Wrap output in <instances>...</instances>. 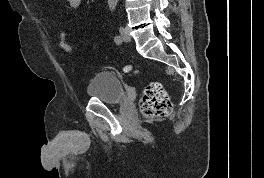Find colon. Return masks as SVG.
Listing matches in <instances>:
<instances>
[{"label":"colon","mask_w":264,"mask_h":178,"mask_svg":"<svg viewBox=\"0 0 264 178\" xmlns=\"http://www.w3.org/2000/svg\"><path fill=\"white\" fill-rule=\"evenodd\" d=\"M59 42L62 49L66 52H72L73 47L67 41L65 33H59ZM126 71H131L130 66L125 67ZM141 112L146 117L160 118L167 116L172 110V103L167 91L160 82L152 81L144 89L140 101Z\"/></svg>","instance_id":"obj_1"}]
</instances>
